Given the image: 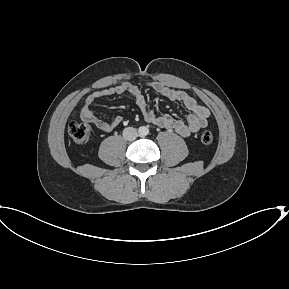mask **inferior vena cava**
Here are the masks:
<instances>
[{
  "instance_id": "inferior-vena-cava-1",
  "label": "inferior vena cava",
  "mask_w": 289,
  "mask_h": 289,
  "mask_svg": "<svg viewBox=\"0 0 289 289\" xmlns=\"http://www.w3.org/2000/svg\"><path fill=\"white\" fill-rule=\"evenodd\" d=\"M137 130L133 127H127L123 130V137L125 140L133 141L137 138Z\"/></svg>"
}]
</instances>
